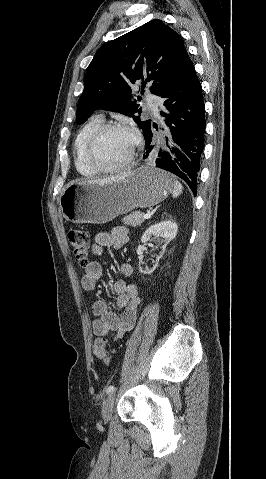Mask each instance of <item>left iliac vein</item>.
I'll return each mask as SVG.
<instances>
[{"label": "left iliac vein", "instance_id": "4c4485c4", "mask_svg": "<svg viewBox=\"0 0 266 479\" xmlns=\"http://www.w3.org/2000/svg\"><path fill=\"white\" fill-rule=\"evenodd\" d=\"M115 393H111L102 405V417L105 422L110 421L115 403Z\"/></svg>", "mask_w": 266, "mask_h": 479}]
</instances>
